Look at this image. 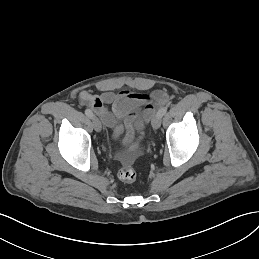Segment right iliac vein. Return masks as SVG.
<instances>
[{
  "mask_svg": "<svg viewBox=\"0 0 259 259\" xmlns=\"http://www.w3.org/2000/svg\"><path fill=\"white\" fill-rule=\"evenodd\" d=\"M93 126L95 131L100 132L101 131V122L97 117L92 118Z\"/></svg>",
  "mask_w": 259,
  "mask_h": 259,
  "instance_id": "right-iliac-vein-1",
  "label": "right iliac vein"
}]
</instances>
